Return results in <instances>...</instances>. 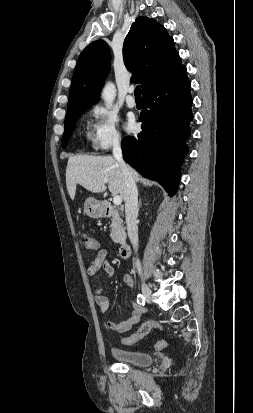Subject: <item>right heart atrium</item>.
<instances>
[{
    "mask_svg": "<svg viewBox=\"0 0 253 413\" xmlns=\"http://www.w3.org/2000/svg\"><path fill=\"white\" fill-rule=\"evenodd\" d=\"M91 142L99 151H107L120 145L122 137L119 131L117 115L109 108L96 106L91 110Z\"/></svg>",
    "mask_w": 253,
    "mask_h": 413,
    "instance_id": "right-heart-atrium-1",
    "label": "right heart atrium"
}]
</instances>
